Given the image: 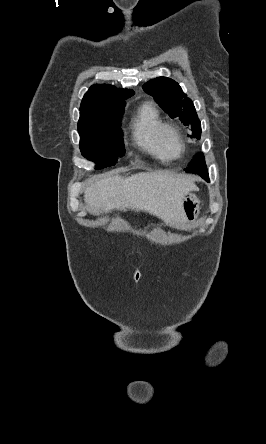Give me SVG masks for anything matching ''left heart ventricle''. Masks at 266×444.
<instances>
[{
  "instance_id": "b2bd125f",
  "label": "left heart ventricle",
  "mask_w": 266,
  "mask_h": 444,
  "mask_svg": "<svg viewBox=\"0 0 266 444\" xmlns=\"http://www.w3.org/2000/svg\"><path fill=\"white\" fill-rule=\"evenodd\" d=\"M164 145L172 156H177L180 152V140L177 134L171 130L164 134Z\"/></svg>"
}]
</instances>
